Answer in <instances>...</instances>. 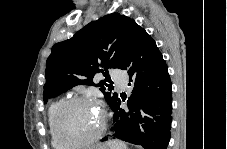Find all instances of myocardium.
<instances>
[{"mask_svg":"<svg viewBox=\"0 0 227 149\" xmlns=\"http://www.w3.org/2000/svg\"><path fill=\"white\" fill-rule=\"evenodd\" d=\"M84 102H90L97 106V108L100 111L101 115V123L98 128V130L91 135L90 137L84 139V140H67L61 131V118L64 113V111L72 104L75 103H84ZM106 113L104 109L101 107L100 103L96 100H92L88 97L84 96H74L71 98H68L61 102V104L58 106L55 115H54V131L57 140L63 145V146H70V147H82V146H90L94 144L105 132L106 130Z\"/></svg>","mask_w":227,"mask_h":149,"instance_id":"obj_1","label":"myocardium"}]
</instances>
